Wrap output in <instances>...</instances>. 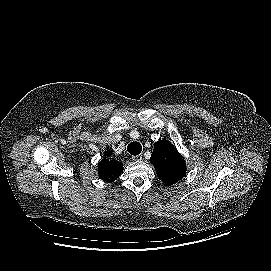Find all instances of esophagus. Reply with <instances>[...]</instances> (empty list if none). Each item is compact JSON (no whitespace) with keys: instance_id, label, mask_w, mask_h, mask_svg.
<instances>
[{"instance_id":"esophagus-1","label":"esophagus","mask_w":271,"mask_h":271,"mask_svg":"<svg viewBox=\"0 0 271 271\" xmlns=\"http://www.w3.org/2000/svg\"><path fill=\"white\" fill-rule=\"evenodd\" d=\"M132 159H133L134 161H141L143 158H142V155L139 154V155L133 156Z\"/></svg>"}]
</instances>
